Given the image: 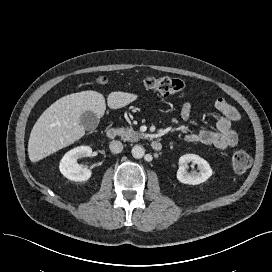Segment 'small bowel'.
<instances>
[{"label": "small bowel", "mask_w": 272, "mask_h": 272, "mask_svg": "<svg viewBox=\"0 0 272 272\" xmlns=\"http://www.w3.org/2000/svg\"><path fill=\"white\" fill-rule=\"evenodd\" d=\"M215 107L221 113L215 130L203 129L198 132H188L184 139L189 143H202L219 149L234 147L238 143V135L232 129V123L240 120L241 114L223 98L215 101ZM192 104L183 103L180 107V116L184 121L190 119Z\"/></svg>", "instance_id": "obj_1"}]
</instances>
